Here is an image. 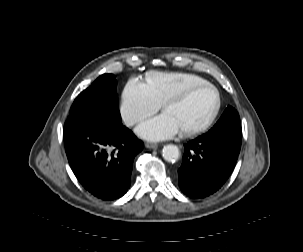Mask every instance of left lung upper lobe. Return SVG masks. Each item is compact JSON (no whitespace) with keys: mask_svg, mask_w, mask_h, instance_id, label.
I'll list each match as a JSON object with an SVG mask.
<instances>
[{"mask_svg":"<svg viewBox=\"0 0 303 252\" xmlns=\"http://www.w3.org/2000/svg\"><path fill=\"white\" fill-rule=\"evenodd\" d=\"M203 136L210 139L241 140L242 130L238 112L228 106L217 123Z\"/></svg>","mask_w":303,"mask_h":252,"instance_id":"left-lung-upper-lobe-1","label":"left lung upper lobe"}]
</instances>
